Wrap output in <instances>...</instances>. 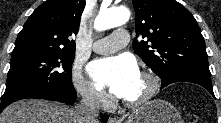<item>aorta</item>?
Returning <instances> with one entry per match:
<instances>
[{
    "label": "aorta",
    "instance_id": "1",
    "mask_svg": "<svg viewBox=\"0 0 221 123\" xmlns=\"http://www.w3.org/2000/svg\"><path fill=\"white\" fill-rule=\"evenodd\" d=\"M130 18L127 8H109L101 10L97 15L94 27L98 31L107 30L125 24Z\"/></svg>",
    "mask_w": 221,
    "mask_h": 123
}]
</instances>
